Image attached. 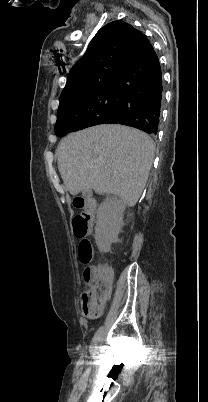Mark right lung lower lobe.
Instances as JSON below:
<instances>
[{"label":"right lung lower lobe","mask_w":208,"mask_h":402,"mask_svg":"<svg viewBox=\"0 0 208 402\" xmlns=\"http://www.w3.org/2000/svg\"><path fill=\"white\" fill-rule=\"evenodd\" d=\"M119 97L109 113L60 122V137L98 124H122L157 134L163 99L162 74L158 57L146 39L115 77Z\"/></svg>","instance_id":"1"}]
</instances>
